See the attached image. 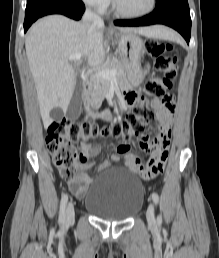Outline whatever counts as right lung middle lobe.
<instances>
[{
	"label": "right lung middle lobe",
	"mask_w": 219,
	"mask_h": 258,
	"mask_svg": "<svg viewBox=\"0 0 219 258\" xmlns=\"http://www.w3.org/2000/svg\"><path fill=\"white\" fill-rule=\"evenodd\" d=\"M41 1L43 0H27L26 10H29L30 8H32L33 6H35L37 3Z\"/></svg>",
	"instance_id": "dd1d6c3e"
}]
</instances>
